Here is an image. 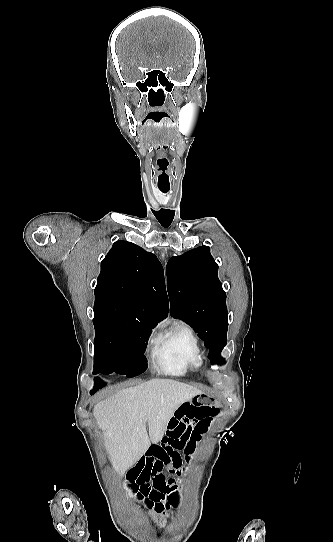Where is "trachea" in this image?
I'll list each match as a JSON object with an SVG mask.
<instances>
[{"label":"trachea","mask_w":333,"mask_h":542,"mask_svg":"<svg viewBox=\"0 0 333 542\" xmlns=\"http://www.w3.org/2000/svg\"><path fill=\"white\" fill-rule=\"evenodd\" d=\"M160 190H161V192H163V193H166V192L169 191V190H166V189H160Z\"/></svg>","instance_id":"1"}]
</instances>
